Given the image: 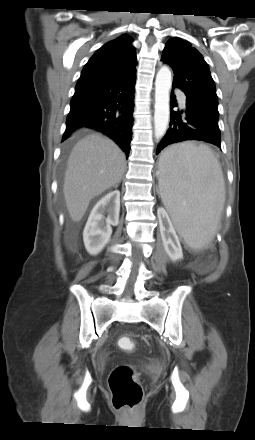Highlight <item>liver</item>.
Instances as JSON below:
<instances>
[{
	"label": "liver",
	"mask_w": 255,
	"mask_h": 440,
	"mask_svg": "<svg viewBox=\"0 0 255 440\" xmlns=\"http://www.w3.org/2000/svg\"><path fill=\"white\" fill-rule=\"evenodd\" d=\"M125 167L122 150L100 134H90L76 143L67 162L63 186L73 222L81 221L93 198L121 181Z\"/></svg>",
	"instance_id": "liver-1"
}]
</instances>
